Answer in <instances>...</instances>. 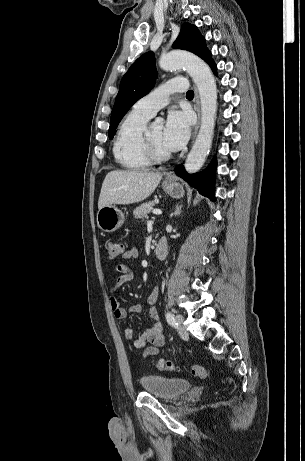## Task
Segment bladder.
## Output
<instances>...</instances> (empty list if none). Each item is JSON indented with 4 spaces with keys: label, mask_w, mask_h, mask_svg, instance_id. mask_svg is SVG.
<instances>
[{
    "label": "bladder",
    "mask_w": 305,
    "mask_h": 461,
    "mask_svg": "<svg viewBox=\"0 0 305 461\" xmlns=\"http://www.w3.org/2000/svg\"><path fill=\"white\" fill-rule=\"evenodd\" d=\"M140 385L145 392L165 400L177 399L191 388V383L186 379L155 374L142 376Z\"/></svg>",
    "instance_id": "bladder-1"
}]
</instances>
